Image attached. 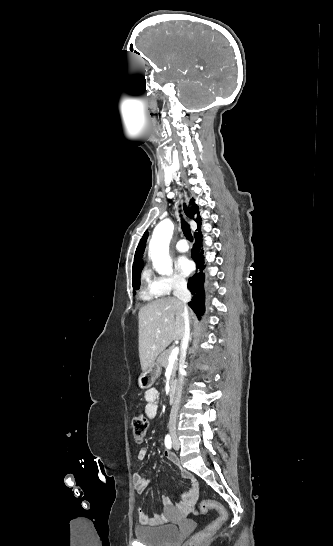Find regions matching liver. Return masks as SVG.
<instances>
[{
  "instance_id": "liver-1",
  "label": "liver",
  "mask_w": 333,
  "mask_h": 546,
  "mask_svg": "<svg viewBox=\"0 0 333 546\" xmlns=\"http://www.w3.org/2000/svg\"><path fill=\"white\" fill-rule=\"evenodd\" d=\"M193 315L191 311L189 316ZM138 323L139 358L144 372L171 342L182 339L183 304L175 298L153 301L139 310Z\"/></svg>"
}]
</instances>
